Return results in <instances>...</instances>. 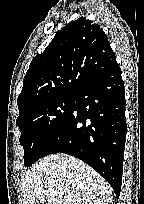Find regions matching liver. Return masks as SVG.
Instances as JSON below:
<instances>
[{
    "label": "liver",
    "instance_id": "1",
    "mask_svg": "<svg viewBox=\"0 0 144 204\" xmlns=\"http://www.w3.org/2000/svg\"><path fill=\"white\" fill-rule=\"evenodd\" d=\"M21 184L23 204H111L113 199L111 186L94 169L67 154L40 159L22 174Z\"/></svg>",
    "mask_w": 144,
    "mask_h": 204
}]
</instances>
